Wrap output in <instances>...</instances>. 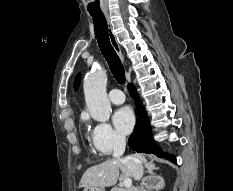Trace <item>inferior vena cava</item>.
I'll use <instances>...</instances> for the list:
<instances>
[{"mask_svg": "<svg viewBox=\"0 0 233 191\" xmlns=\"http://www.w3.org/2000/svg\"><path fill=\"white\" fill-rule=\"evenodd\" d=\"M125 147V137H118L114 144L113 157L116 160H119L122 163H124L130 169L135 180H140L143 176L142 162L139 158H137L134 155L128 156L125 159H121V156L124 154Z\"/></svg>", "mask_w": 233, "mask_h": 191, "instance_id": "inferior-vena-cava-1", "label": "inferior vena cava"}]
</instances>
